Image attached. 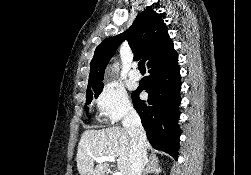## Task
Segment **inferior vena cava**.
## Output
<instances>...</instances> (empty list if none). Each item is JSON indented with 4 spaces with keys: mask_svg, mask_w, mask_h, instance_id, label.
<instances>
[{
    "mask_svg": "<svg viewBox=\"0 0 251 175\" xmlns=\"http://www.w3.org/2000/svg\"><path fill=\"white\" fill-rule=\"evenodd\" d=\"M130 139V157L127 175H141L147 165V137L141 119L134 107H128L122 121Z\"/></svg>",
    "mask_w": 251,
    "mask_h": 175,
    "instance_id": "inferior-vena-cava-1",
    "label": "inferior vena cava"
}]
</instances>
